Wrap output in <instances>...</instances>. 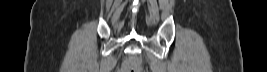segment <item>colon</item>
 Segmentation results:
<instances>
[{
  "mask_svg": "<svg viewBox=\"0 0 267 72\" xmlns=\"http://www.w3.org/2000/svg\"><path fill=\"white\" fill-rule=\"evenodd\" d=\"M138 62H126L120 72H138Z\"/></svg>",
  "mask_w": 267,
  "mask_h": 72,
  "instance_id": "colon-1",
  "label": "colon"
}]
</instances>
